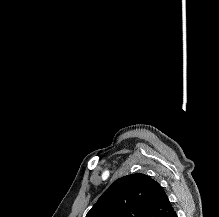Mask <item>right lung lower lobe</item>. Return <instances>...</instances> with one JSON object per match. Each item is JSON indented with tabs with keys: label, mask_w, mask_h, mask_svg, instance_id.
I'll return each mask as SVG.
<instances>
[{
	"label": "right lung lower lobe",
	"mask_w": 219,
	"mask_h": 217,
	"mask_svg": "<svg viewBox=\"0 0 219 217\" xmlns=\"http://www.w3.org/2000/svg\"><path fill=\"white\" fill-rule=\"evenodd\" d=\"M168 217H177V214H176L175 211H173L172 213H170V214L168 215Z\"/></svg>",
	"instance_id": "obj_1"
}]
</instances>
